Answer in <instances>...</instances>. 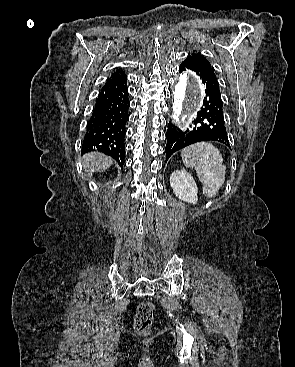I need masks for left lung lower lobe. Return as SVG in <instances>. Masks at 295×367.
<instances>
[{
    "instance_id": "obj_1",
    "label": "left lung lower lobe",
    "mask_w": 295,
    "mask_h": 367,
    "mask_svg": "<svg viewBox=\"0 0 295 367\" xmlns=\"http://www.w3.org/2000/svg\"><path fill=\"white\" fill-rule=\"evenodd\" d=\"M192 70L200 76L205 85L203 106L197 112L191 129H181L168 124L166 134V161L179 149L201 141H217L230 147L225 127L223 102L219 84L211 67L200 64L191 58H186L179 66V71Z\"/></svg>"
}]
</instances>
